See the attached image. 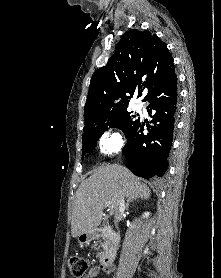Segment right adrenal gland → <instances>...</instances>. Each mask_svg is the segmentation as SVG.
Returning a JSON list of instances; mask_svg holds the SVG:
<instances>
[{
  "mask_svg": "<svg viewBox=\"0 0 221 278\" xmlns=\"http://www.w3.org/2000/svg\"><path fill=\"white\" fill-rule=\"evenodd\" d=\"M134 200H136V199H131V198H129V199H127V202H126V208L128 209V207H129V204L131 203V202H133Z\"/></svg>",
  "mask_w": 221,
  "mask_h": 278,
  "instance_id": "obj_1",
  "label": "right adrenal gland"
}]
</instances>
